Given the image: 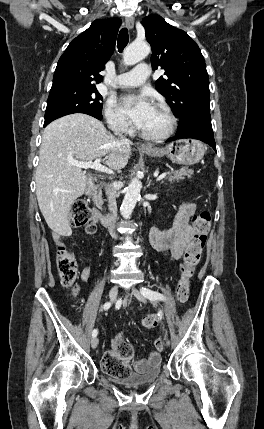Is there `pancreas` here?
Segmentation results:
<instances>
[{
    "instance_id": "cf45deb5",
    "label": "pancreas",
    "mask_w": 264,
    "mask_h": 429,
    "mask_svg": "<svg viewBox=\"0 0 264 429\" xmlns=\"http://www.w3.org/2000/svg\"><path fill=\"white\" fill-rule=\"evenodd\" d=\"M194 171L191 169H188V167H183L179 170L176 171H172L169 176L167 177V179L170 182H175V181H179L181 179L184 178V176H188L191 177L193 175ZM102 187L103 185H97L94 189V198L97 201L98 204H102L103 203V199H102Z\"/></svg>"
}]
</instances>
